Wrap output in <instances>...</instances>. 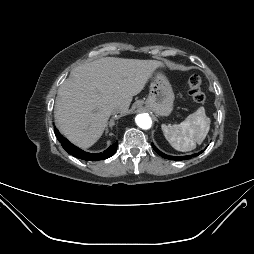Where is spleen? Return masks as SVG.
Returning <instances> with one entry per match:
<instances>
[{
    "label": "spleen",
    "instance_id": "spleen-1",
    "mask_svg": "<svg viewBox=\"0 0 254 254\" xmlns=\"http://www.w3.org/2000/svg\"><path fill=\"white\" fill-rule=\"evenodd\" d=\"M210 129V119L204 107H199L177 125H162V131L170 145L181 152L191 151L201 144Z\"/></svg>",
    "mask_w": 254,
    "mask_h": 254
}]
</instances>
